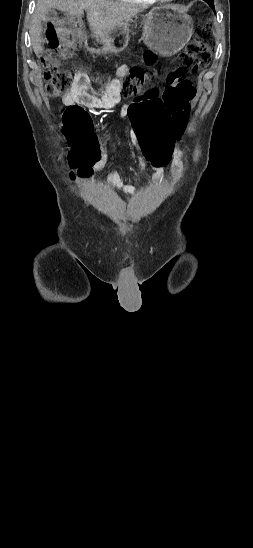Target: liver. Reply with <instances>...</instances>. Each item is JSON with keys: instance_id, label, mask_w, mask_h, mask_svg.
<instances>
[{"instance_id": "obj_1", "label": "liver", "mask_w": 253, "mask_h": 548, "mask_svg": "<svg viewBox=\"0 0 253 548\" xmlns=\"http://www.w3.org/2000/svg\"><path fill=\"white\" fill-rule=\"evenodd\" d=\"M52 8L78 18L82 17L85 10L91 31L100 37L108 36L123 28L141 11L139 6L111 0H38L29 31L36 55L42 51L44 42L41 36L43 31L41 23L46 13Z\"/></svg>"}]
</instances>
